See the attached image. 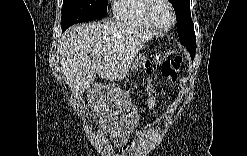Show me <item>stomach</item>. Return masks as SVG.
<instances>
[{
  "label": "stomach",
  "mask_w": 247,
  "mask_h": 156,
  "mask_svg": "<svg viewBox=\"0 0 247 156\" xmlns=\"http://www.w3.org/2000/svg\"><path fill=\"white\" fill-rule=\"evenodd\" d=\"M144 60H145V57H143V56L137 57L136 60L133 62V65H131L129 70L137 69L138 67L141 66V64L144 62Z\"/></svg>",
  "instance_id": "stomach-1"
}]
</instances>
